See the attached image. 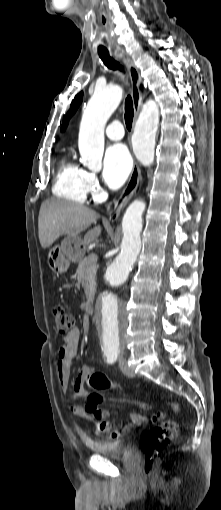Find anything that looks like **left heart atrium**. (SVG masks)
Wrapping results in <instances>:
<instances>
[{"instance_id": "left-heart-atrium-1", "label": "left heart atrium", "mask_w": 221, "mask_h": 510, "mask_svg": "<svg viewBox=\"0 0 221 510\" xmlns=\"http://www.w3.org/2000/svg\"><path fill=\"white\" fill-rule=\"evenodd\" d=\"M132 159L128 149L122 144L110 146L104 155L103 178L111 189L119 188L128 178Z\"/></svg>"}]
</instances>
